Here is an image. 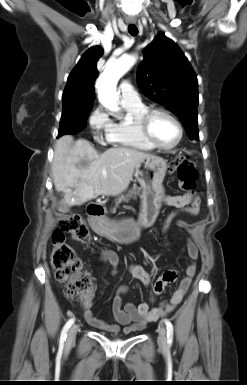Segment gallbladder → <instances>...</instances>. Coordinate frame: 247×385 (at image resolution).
<instances>
[{"instance_id": "bac80fb5", "label": "gallbladder", "mask_w": 247, "mask_h": 385, "mask_svg": "<svg viewBox=\"0 0 247 385\" xmlns=\"http://www.w3.org/2000/svg\"><path fill=\"white\" fill-rule=\"evenodd\" d=\"M57 208L60 212L66 213L69 211V206L66 205L63 201L58 202Z\"/></svg>"}]
</instances>
